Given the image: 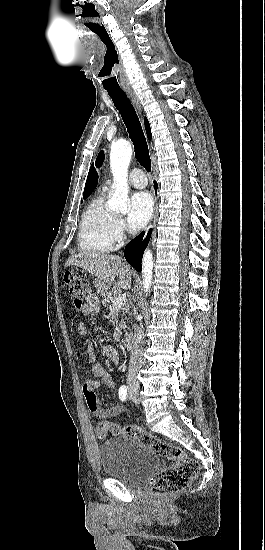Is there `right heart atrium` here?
I'll use <instances>...</instances> for the list:
<instances>
[{
	"mask_svg": "<svg viewBox=\"0 0 265 550\" xmlns=\"http://www.w3.org/2000/svg\"><path fill=\"white\" fill-rule=\"evenodd\" d=\"M115 231H116L117 237H121L122 234L125 232V224L121 218H116Z\"/></svg>",
	"mask_w": 265,
	"mask_h": 550,
	"instance_id": "obj_1",
	"label": "right heart atrium"
}]
</instances>
